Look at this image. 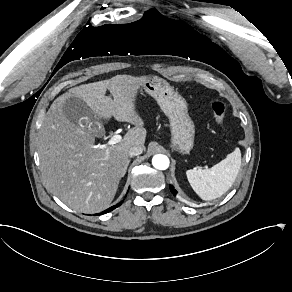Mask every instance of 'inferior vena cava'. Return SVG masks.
<instances>
[{
    "mask_svg": "<svg viewBox=\"0 0 292 292\" xmlns=\"http://www.w3.org/2000/svg\"><path fill=\"white\" fill-rule=\"evenodd\" d=\"M143 152V147L142 146H133L130 148L128 154L129 156H137L140 155Z\"/></svg>",
    "mask_w": 292,
    "mask_h": 292,
    "instance_id": "602c4592",
    "label": "inferior vena cava"
}]
</instances>
